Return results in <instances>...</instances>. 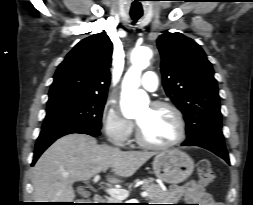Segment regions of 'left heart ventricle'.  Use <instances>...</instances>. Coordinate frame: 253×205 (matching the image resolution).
<instances>
[{
    "instance_id": "1",
    "label": "left heart ventricle",
    "mask_w": 253,
    "mask_h": 205,
    "mask_svg": "<svg viewBox=\"0 0 253 205\" xmlns=\"http://www.w3.org/2000/svg\"><path fill=\"white\" fill-rule=\"evenodd\" d=\"M135 120L143 137L152 143L171 142L178 134L176 118L166 108H153L148 105L137 113Z\"/></svg>"
}]
</instances>
